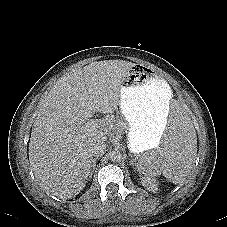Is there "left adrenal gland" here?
<instances>
[{
    "label": "left adrenal gland",
    "instance_id": "obj_1",
    "mask_svg": "<svg viewBox=\"0 0 227 227\" xmlns=\"http://www.w3.org/2000/svg\"><path fill=\"white\" fill-rule=\"evenodd\" d=\"M130 165H132V166H135V165H136V164H135V159L132 158V156H131V160H130Z\"/></svg>",
    "mask_w": 227,
    "mask_h": 227
}]
</instances>
